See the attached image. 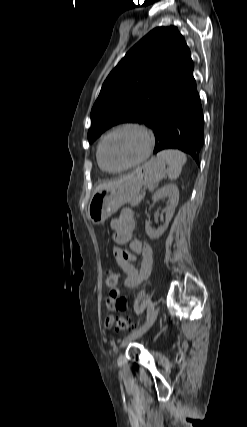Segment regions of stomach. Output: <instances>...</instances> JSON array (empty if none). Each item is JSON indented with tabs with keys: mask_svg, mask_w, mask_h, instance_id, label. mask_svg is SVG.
Here are the masks:
<instances>
[{
	"mask_svg": "<svg viewBox=\"0 0 247 427\" xmlns=\"http://www.w3.org/2000/svg\"><path fill=\"white\" fill-rule=\"evenodd\" d=\"M164 160L151 158L132 176L111 188L96 191L88 205L87 215L93 224H101L123 204L139 195L142 186L152 185L165 177Z\"/></svg>",
	"mask_w": 247,
	"mask_h": 427,
	"instance_id": "obj_1",
	"label": "stomach"
}]
</instances>
